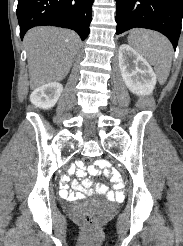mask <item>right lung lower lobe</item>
<instances>
[{
  "label": "right lung lower lobe",
  "mask_w": 183,
  "mask_h": 246,
  "mask_svg": "<svg viewBox=\"0 0 183 246\" xmlns=\"http://www.w3.org/2000/svg\"><path fill=\"white\" fill-rule=\"evenodd\" d=\"M94 0H18L20 37L32 27L51 25L76 31L82 40L90 32Z\"/></svg>",
  "instance_id": "98d812e1"
}]
</instances>
